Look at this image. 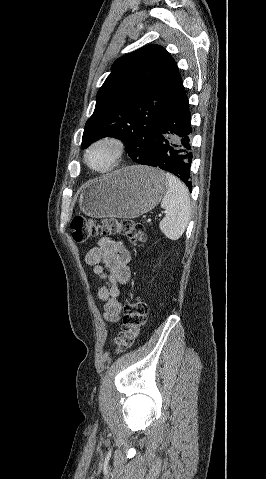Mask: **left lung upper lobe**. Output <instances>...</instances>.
Here are the masks:
<instances>
[{"instance_id": "obj_1", "label": "left lung upper lobe", "mask_w": 266, "mask_h": 479, "mask_svg": "<svg viewBox=\"0 0 266 479\" xmlns=\"http://www.w3.org/2000/svg\"><path fill=\"white\" fill-rule=\"evenodd\" d=\"M182 85L176 62L162 46L146 45L118 58L98 90L82 147L115 137L135 162L145 164L160 121Z\"/></svg>"}]
</instances>
